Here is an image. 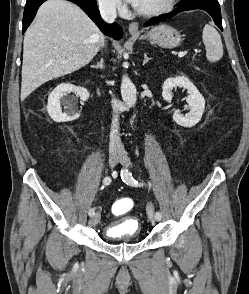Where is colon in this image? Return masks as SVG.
Listing matches in <instances>:
<instances>
[{"mask_svg": "<svg viewBox=\"0 0 249 294\" xmlns=\"http://www.w3.org/2000/svg\"><path fill=\"white\" fill-rule=\"evenodd\" d=\"M133 206V200H131L130 198H122L114 203L112 211L115 215L120 216L131 211Z\"/></svg>", "mask_w": 249, "mask_h": 294, "instance_id": "1", "label": "colon"}]
</instances>
